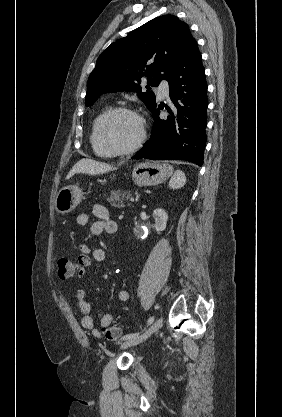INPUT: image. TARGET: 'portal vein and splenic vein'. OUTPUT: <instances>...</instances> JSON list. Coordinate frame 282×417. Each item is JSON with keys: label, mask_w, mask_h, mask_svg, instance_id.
I'll use <instances>...</instances> for the list:
<instances>
[{"label": "portal vein and splenic vein", "mask_w": 282, "mask_h": 417, "mask_svg": "<svg viewBox=\"0 0 282 417\" xmlns=\"http://www.w3.org/2000/svg\"><path fill=\"white\" fill-rule=\"evenodd\" d=\"M129 202H131V203H136V202H137V199H136V198H130V199H129Z\"/></svg>", "instance_id": "18ae733b"}]
</instances>
